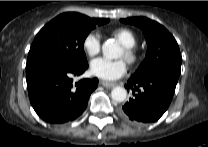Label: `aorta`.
<instances>
[{
  "label": "aorta",
  "instance_id": "obj_1",
  "mask_svg": "<svg viewBox=\"0 0 208 147\" xmlns=\"http://www.w3.org/2000/svg\"><path fill=\"white\" fill-rule=\"evenodd\" d=\"M103 55L107 59L119 58L122 54V49L118 42L114 40H107L102 45ZM127 91L123 87H115L111 91V97L116 102H123L126 99Z\"/></svg>",
  "mask_w": 208,
  "mask_h": 147
}]
</instances>
